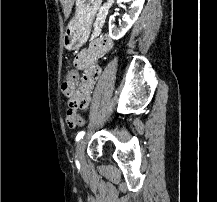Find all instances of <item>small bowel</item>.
Here are the masks:
<instances>
[{
	"label": "small bowel",
	"instance_id": "obj_1",
	"mask_svg": "<svg viewBox=\"0 0 217 202\" xmlns=\"http://www.w3.org/2000/svg\"><path fill=\"white\" fill-rule=\"evenodd\" d=\"M113 48V41L110 36L102 35L95 40L87 49H83L75 58L74 64L77 69H86L82 86L84 95H91L92 87L102 72L101 66H91V59H98L107 55ZM75 114H67L74 116Z\"/></svg>",
	"mask_w": 217,
	"mask_h": 202
}]
</instances>
